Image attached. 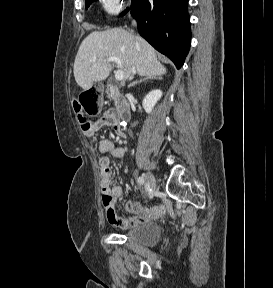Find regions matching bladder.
Wrapping results in <instances>:
<instances>
[{"instance_id":"1","label":"bladder","mask_w":273,"mask_h":288,"mask_svg":"<svg viewBox=\"0 0 273 288\" xmlns=\"http://www.w3.org/2000/svg\"><path fill=\"white\" fill-rule=\"evenodd\" d=\"M124 236L139 246L153 247L161 239V230L156 223H145L132 227Z\"/></svg>"}]
</instances>
